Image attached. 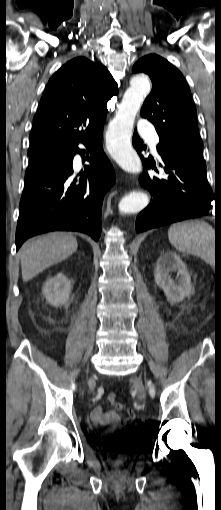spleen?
Returning <instances> with one entry per match:
<instances>
[{
	"mask_svg": "<svg viewBox=\"0 0 221 510\" xmlns=\"http://www.w3.org/2000/svg\"><path fill=\"white\" fill-rule=\"evenodd\" d=\"M170 243L184 253L199 256L212 264L215 257V231L204 221L174 223L168 230Z\"/></svg>",
	"mask_w": 221,
	"mask_h": 510,
	"instance_id": "obj_1",
	"label": "spleen"
}]
</instances>
